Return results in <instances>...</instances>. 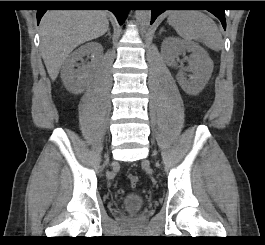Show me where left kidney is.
Segmentation results:
<instances>
[{
  "label": "left kidney",
  "instance_id": "5707ae66",
  "mask_svg": "<svg viewBox=\"0 0 265 245\" xmlns=\"http://www.w3.org/2000/svg\"><path fill=\"white\" fill-rule=\"evenodd\" d=\"M186 51L191 52V55L189 66L184 70L192 72V75L187 79L181 70L176 79L187 94L198 95L205 87L213 71V61L208 53L197 43L175 37L166 38L161 46L164 59L172 66L176 65L175 59Z\"/></svg>",
  "mask_w": 265,
  "mask_h": 245
}]
</instances>
